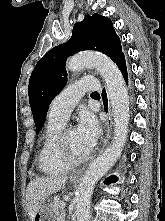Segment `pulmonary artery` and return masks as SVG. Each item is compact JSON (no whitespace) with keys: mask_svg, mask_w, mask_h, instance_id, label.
I'll return each instance as SVG.
<instances>
[{"mask_svg":"<svg viewBox=\"0 0 165 221\" xmlns=\"http://www.w3.org/2000/svg\"><path fill=\"white\" fill-rule=\"evenodd\" d=\"M98 89V82L93 77H85L69 84L52 102L48 117L66 122L80 98L87 91Z\"/></svg>","mask_w":165,"mask_h":221,"instance_id":"pulmonary-artery-1","label":"pulmonary artery"}]
</instances>
